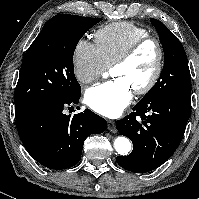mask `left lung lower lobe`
I'll list each match as a JSON object with an SVG mask.
<instances>
[{"label": "left lung lower lobe", "mask_w": 199, "mask_h": 199, "mask_svg": "<svg viewBox=\"0 0 199 199\" xmlns=\"http://www.w3.org/2000/svg\"><path fill=\"white\" fill-rule=\"evenodd\" d=\"M190 113L191 95H173L135 105L132 113L116 122L117 130L133 143V151L118 156L117 163L135 173L149 172L162 165L179 146Z\"/></svg>", "instance_id": "left-lung-lower-lobe-1"}]
</instances>
